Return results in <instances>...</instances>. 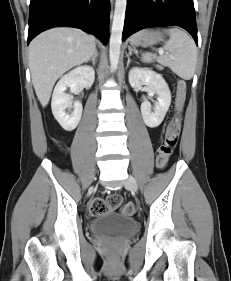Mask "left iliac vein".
I'll use <instances>...</instances> for the list:
<instances>
[{"instance_id":"obj_1","label":"left iliac vein","mask_w":231,"mask_h":281,"mask_svg":"<svg viewBox=\"0 0 231 281\" xmlns=\"http://www.w3.org/2000/svg\"><path fill=\"white\" fill-rule=\"evenodd\" d=\"M125 186L130 188L132 191L137 192L138 191V185L135 180V178L131 175H129L125 181Z\"/></svg>"}]
</instances>
